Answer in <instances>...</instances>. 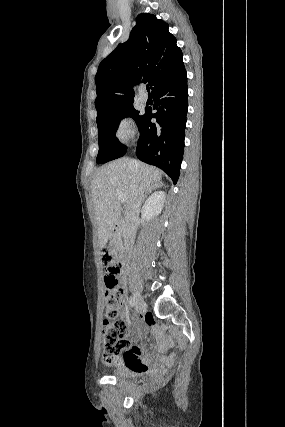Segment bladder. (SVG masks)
<instances>
[{"mask_svg":"<svg viewBox=\"0 0 285 427\" xmlns=\"http://www.w3.org/2000/svg\"><path fill=\"white\" fill-rule=\"evenodd\" d=\"M145 374V371L132 369L129 367H120L114 370L113 375L117 378L122 379H139L142 375Z\"/></svg>","mask_w":285,"mask_h":427,"instance_id":"1","label":"bladder"}]
</instances>
